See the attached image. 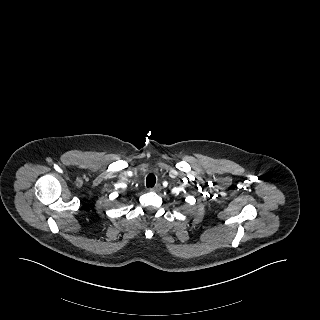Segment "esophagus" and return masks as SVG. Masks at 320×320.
Returning <instances> with one entry per match:
<instances>
[{
    "label": "esophagus",
    "instance_id": "1",
    "mask_svg": "<svg viewBox=\"0 0 320 320\" xmlns=\"http://www.w3.org/2000/svg\"><path fill=\"white\" fill-rule=\"evenodd\" d=\"M161 189L160 184H156L154 187L149 188V191L158 192Z\"/></svg>",
    "mask_w": 320,
    "mask_h": 320
}]
</instances>
